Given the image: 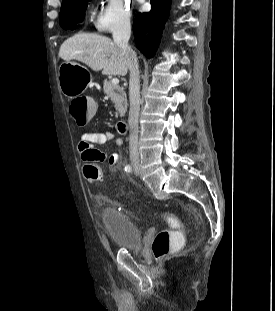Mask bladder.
<instances>
[{
    "label": "bladder",
    "instance_id": "31cf9c89",
    "mask_svg": "<svg viewBox=\"0 0 275 311\" xmlns=\"http://www.w3.org/2000/svg\"><path fill=\"white\" fill-rule=\"evenodd\" d=\"M100 217L114 247L141 248L143 244L142 230L125 212L102 208Z\"/></svg>",
    "mask_w": 275,
    "mask_h": 311
}]
</instances>
